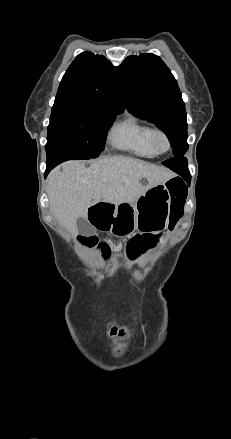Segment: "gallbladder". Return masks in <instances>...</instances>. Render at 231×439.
Returning <instances> with one entry per match:
<instances>
[{
	"label": "gallbladder",
	"instance_id": "bac80fb5",
	"mask_svg": "<svg viewBox=\"0 0 231 439\" xmlns=\"http://www.w3.org/2000/svg\"><path fill=\"white\" fill-rule=\"evenodd\" d=\"M77 227L81 234L92 235L94 233V229L81 217L77 219Z\"/></svg>",
	"mask_w": 231,
	"mask_h": 439
}]
</instances>
